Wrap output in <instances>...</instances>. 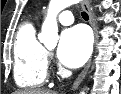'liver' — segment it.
I'll return each instance as SVG.
<instances>
[{"mask_svg":"<svg viewBox=\"0 0 121 94\" xmlns=\"http://www.w3.org/2000/svg\"><path fill=\"white\" fill-rule=\"evenodd\" d=\"M14 94H58L56 91L52 90H22V91H16Z\"/></svg>","mask_w":121,"mask_h":94,"instance_id":"obj_1","label":"liver"}]
</instances>
